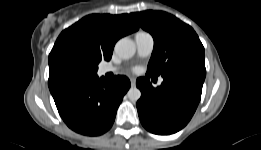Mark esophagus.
<instances>
[{"label":"esophagus","mask_w":261,"mask_h":150,"mask_svg":"<svg viewBox=\"0 0 261 150\" xmlns=\"http://www.w3.org/2000/svg\"><path fill=\"white\" fill-rule=\"evenodd\" d=\"M131 86L134 87L136 84V79L135 78H130Z\"/></svg>","instance_id":"34e87169"}]
</instances>
